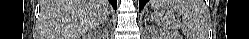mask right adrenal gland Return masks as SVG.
I'll list each match as a JSON object with an SVG mask.
<instances>
[{"mask_svg":"<svg viewBox=\"0 0 249 39\" xmlns=\"http://www.w3.org/2000/svg\"><path fill=\"white\" fill-rule=\"evenodd\" d=\"M105 23H106V22H103V23H102V24H103V26L105 25Z\"/></svg>","mask_w":249,"mask_h":39,"instance_id":"2a0ac1e0","label":"right adrenal gland"}]
</instances>
